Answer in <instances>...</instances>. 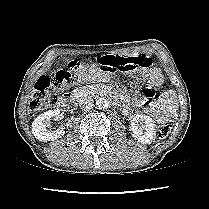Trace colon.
Wrapping results in <instances>:
<instances>
[{"label":"colon","instance_id":"1","mask_svg":"<svg viewBox=\"0 0 209 209\" xmlns=\"http://www.w3.org/2000/svg\"><path fill=\"white\" fill-rule=\"evenodd\" d=\"M151 65L152 62L145 56L108 55L101 57L90 69H100L106 72L114 70L130 72L137 67L149 68ZM84 73L82 66L78 62L72 61L68 64L67 70H58L51 76L39 77L30 95L29 114L35 115L45 108L55 106L59 101L58 93L75 86ZM170 121L169 117L159 125L157 131L159 138H165L170 133Z\"/></svg>","mask_w":209,"mask_h":209}]
</instances>
